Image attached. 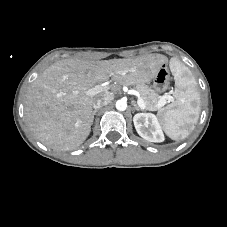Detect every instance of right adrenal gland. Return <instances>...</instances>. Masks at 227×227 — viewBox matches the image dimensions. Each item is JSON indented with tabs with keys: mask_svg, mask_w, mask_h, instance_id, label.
Here are the masks:
<instances>
[{
	"mask_svg": "<svg viewBox=\"0 0 227 227\" xmlns=\"http://www.w3.org/2000/svg\"><path fill=\"white\" fill-rule=\"evenodd\" d=\"M97 111V109L93 111V116L96 115Z\"/></svg>",
	"mask_w": 227,
	"mask_h": 227,
	"instance_id": "1",
	"label": "right adrenal gland"
}]
</instances>
